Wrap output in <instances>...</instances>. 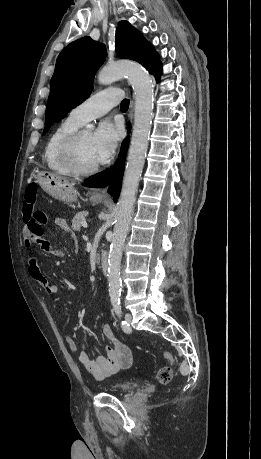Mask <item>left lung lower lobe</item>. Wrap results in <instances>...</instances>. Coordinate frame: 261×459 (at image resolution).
<instances>
[{"label": "left lung lower lobe", "mask_w": 261, "mask_h": 459, "mask_svg": "<svg viewBox=\"0 0 261 459\" xmlns=\"http://www.w3.org/2000/svg\"><path fill=\"white\" fill-rule=\"evenodd\" d=\"M162 75V68L158 70L154 76L156 77L157 81H159V77ZM129 140L127 139L120 151L118 160L114 167L109 170H105L101 173H98L95 176L90 177L87 181H85L84 186L92 187V188H99L110 184L108 192L114 196V201L116 202L119 197L121 181L123 176L124 170V161H125V154L128 148Z\"/></svg>", "instance_id": "obj_1"}]
</instances>
